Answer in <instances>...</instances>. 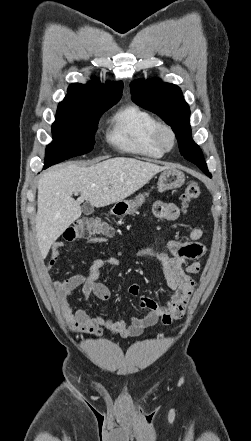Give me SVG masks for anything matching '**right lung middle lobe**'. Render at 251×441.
<instances>
[{
  "label": "right lung middle lobe",
  "instance_id": "1",
  "mask_svg": "<svg viewBox=\"0 0 251 441\" xmlns=\"http://www.w3.org/2000/svg\"><path fill=\"white\" fill-rule=\"evenodd\" d=\"M118 101L87 100L74 110H57L52 125L53 142L46 148L47 167L93 149L100 116Z\"/></svg>",
  "mask_w": 251,
  "mask_h": 441
}]
</instances>
